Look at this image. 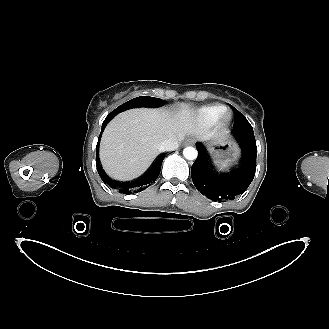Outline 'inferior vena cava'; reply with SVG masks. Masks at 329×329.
Here are the masks:
<instances>
[{
    "mask_svg": "<svg viewBox=\"0 0 329 329\" xmlns=\"http://www.w3.org/2000/svg\"><path fill=\"white\" fill-rule=\"evenodd\" d=\"M179 146V143L175 139H167L161 142L159 149L161 151H173L177 149Z\"/></svg>",
    "mask_w": 329,
    "mask_h": 329,
    "instance_id": "inferior-vena-cava-1",
    "label": "inferior vena cava"
}]
</instances>
